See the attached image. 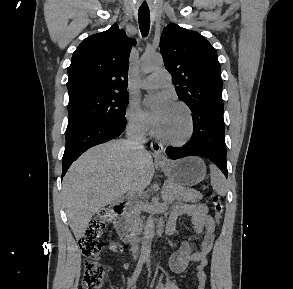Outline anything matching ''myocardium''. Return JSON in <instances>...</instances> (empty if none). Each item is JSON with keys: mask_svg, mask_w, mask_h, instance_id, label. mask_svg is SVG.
I'll list each match as a JSON object with an SVG mask.
<instances>
[{"mask_svg": "<svg viewBox=\"0 0 293 289\" xmlns=\"http://www.w3.org/2000/svg\"><path fill=\"white\" fill-rule=\"evenodd\" d=\"M174 106H177V107L183 109L186 114L188 127H187V131L184 134V136L181 137L180 139H177V140L167 139V138L162 137L156 131L155 127H153L151 133L157 141H159L160 143H162L164 145L173 146V147H182V146H185L186 144H188L194 135V131H195L194 118H193L192 111L187 104L180 102V101H177L174 103Z\"/></svg>", "mask_w": 293, "mask_h": 289, "instance_id": "f54148a6", "label": "myocardium"}]
</instances>
